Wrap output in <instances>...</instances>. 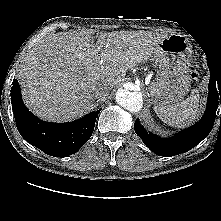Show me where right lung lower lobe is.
Wrapping results in <instances>:
<instances>
[{
    "instance_id": "1",
    "label": "right lung lower lobe",
    "mask_w": 221,
    "mask_h": 221,
    "mask_svg": "<svg viewBox=\"0 0 221 221\" xmlns=\"http://www.w3.org/2000/svg\"><path fill=\"white\" fill-rule=\"evenodd\" d=\"M11 103L16 126L31 145L54 157L76 153L91 137L101 109L69 123L45 122L34 116L25 106L17 80H13Z\"/></svg>"
}]
</instances>
